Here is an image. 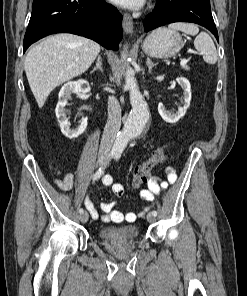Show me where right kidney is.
<instances>
[{
  "instance_id": "obj_1",
  "label": "right kidney",
  "mask_w": 247,
  "mask_h": 296,
  "mask_svg": "<svg viewBox=\"0 0 247 296\" xmlns=\"http://www.w3.org/2000/svg\"><path fill=\"white\" fill-rule=\"evenodd\" d=\"M90 92L89 83L86 80L79 79L77 81H69L64 84L59 92V101L57 103L55 113L58 119L61 132L69 139L79 137L87 127V117L82 118L80 124L76 128H71L66 115L65 106L71 98L72 93H88Z\"/></svg>"
}]
</instances>
